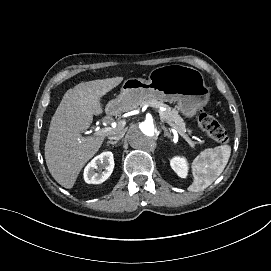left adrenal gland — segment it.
I'll list each match as a JSON object with an SVG mask.
<instances>
[{
    "instance_id": "a2214340",
    "label": "left adrenal gland",
    "mask_w": 271,
    "mask_h": 271,
    "mask_svg": "<svg viewBox=\"0 0 271 271\" xmlns=\"http://www.w3.org/2000/svg\"><path fill=\"white\" fill-rule=\"evenodd\" d=\"M161 128L164 130L165 137L167 136L168 138H172L171 133L168 131V129L164 125H162Z\"/></svg>"
}]
</instances>
